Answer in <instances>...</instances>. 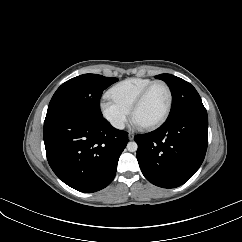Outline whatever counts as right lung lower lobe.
<instances>
[{
  "mask_svg": "<svg viewBox=\"0 0 242 242\" xmlns=\"http://www.w3.org/2000/svg\"><path fill=\"white\" fill-rule=\"evenodd\" d=\"M128 133L102 118L63 113L45 118L44 143L54 173L81 192H96L115 177Z\"/></svg>",
  "mask_w": 242,
  "mask_h": 242,
  "instance_id": "98d812e1",
  "label": "right lung lower lobe"
}]
</instances>
